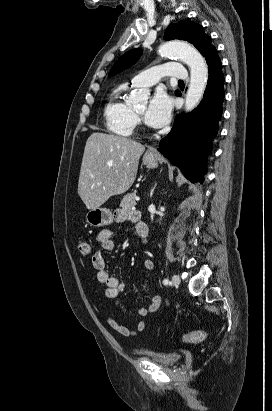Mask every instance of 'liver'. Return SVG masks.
<instances>
[{
	"mask_svg": "<svg viewBox=\"0 0 272 411\" xmlns=\"http://www.w3.org/2000/svg\"><path fill=\"white\" fill-rule=\"evenodd\" d=\"M144 150L142 144L122 136L99 132L90 135L78 182V194L87 209L100 207L132 186Z\"/></svg>",
	"mask_w": 272,
	"mask_h": 411,
	"instance_id": "6515ba94",
	"label": "liver"
}]
</instances>
